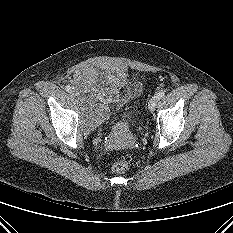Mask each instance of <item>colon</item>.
<instances>
[{
    "label": "colon",
    "instance_id": "colon-1",
    "mask_svg": "<svg viewBox=\"0 0 233 233\" xmlns=\"http://www.w3.org/2000/svg\"><path fill=\"white\" fill-rule=\"evenodd\" d=\"M130 168V162L126 159H122L112 166V171L116 174L125 173Z\"/></svg>",
    "mask_w": 233,
    "mask_h": 233
}]
</instances>
